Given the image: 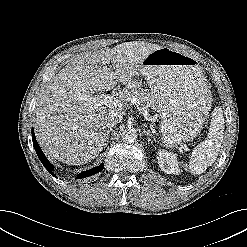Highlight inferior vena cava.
<instances>
[{"mask_svg": "<svg viewBox=\"0 0 247 247\" xmlns=\"http://www.w3.org/2000/svg\"><path fill=\"white\" fill-rule=\"evenodd\" d=\"M122 120V115L119 112L111 111L105 117V127L112 128Z\"/></svg>", "mask_w": 247, "mask_h": 247, "instance_id": "obj_1", "label": "inferior vena cava"}]
</instances>
